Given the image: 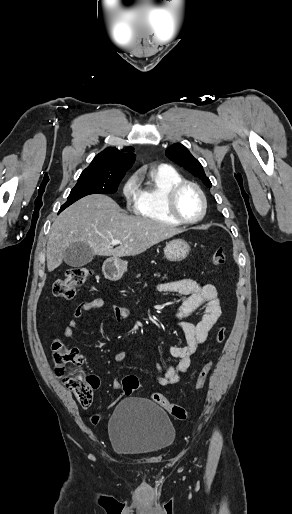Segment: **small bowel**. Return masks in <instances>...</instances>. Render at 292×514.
<instances>
[{"label":"small bowel","mask_w":292,"mask_h":514,"mask_svg":"<svg viewBox=\"0 0 292 514\" xmlns=\"http://www.w3.org/2000/svg\"><path fill=\"white\" fill-rule=\"evenodd\" d=\"M158 291L164 293L177 294L185 296L186 299L174 310V318L176 326L184 333L186 343L180 346H172L169 352L177 362L169 365L166 369L156 366V381L162 387L176 384L183 373H185L190 365L192 357L197 353L199 347L206 340L209 331L217 323L222 315V306L219 298L218 290L214 284L200 283L194 279L181 278L159 284ZM106 306V301L102 297H95L80 302L74 310L73 319L63 330L65 338L74 336L75 329L79 320L84 314L91 310L102 309ZM115 316L118 320L128 319L133 312L129 307L115 304L113 306ZM198 310H203L202 318L197 323H191L185 320L186 317L192 315ZM125 355L122 351L115 354V361L122 363ZM112 386L116 390L121 389V381L114 379ZM118 400L125 396L123 391L117 393ZM113 406L118 404L116 399L111 401ZM107 411L112 409L110 404L105 406Z\"/></svg>","instance_id":"1"}]
</instances>
